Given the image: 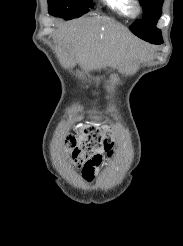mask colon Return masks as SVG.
Segmentation results:
<instances>
[{
	"label": "colon",
	"mask_w": 183,
	"mask_h": 246,
	"mask_svg": "<svg viewBox=\"0 0 183 246\" xmlns=\"http://www.w3.org/2000/svg\"><path fill=\"white\" fill-rule=\"evenodd\" d=\"M112 135L109 128L89 125L79 136H66L65 153L79 167L100 151H106L111 156L115 144Z\"/></svg>",
	"instance_id": "colon-1"
}]
</instances>
